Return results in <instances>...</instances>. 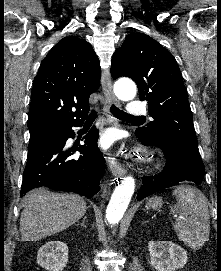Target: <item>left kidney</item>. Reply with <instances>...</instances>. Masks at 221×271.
I'll list each match as a JSON object with an SVG mask.
<instances>
[{"mask_svg": "<svg viewBox=\"0 0 221 271\" xmlns=\"http://www.w3.org/2000/svg\"><path fill=\"white\" fill-rule=\"evenodd\" d=\"M150 263L157 271H175L188 261L184 247L173 241H148Z\"/></svg>", "mask_w": 221, "mask_h": 271, "instance_id": "1", "label": "left kidney"}]
</instances>
